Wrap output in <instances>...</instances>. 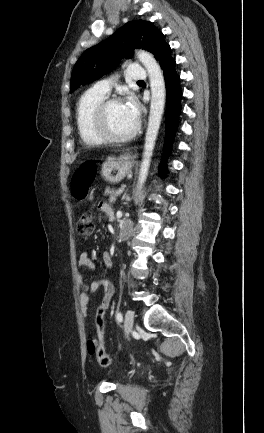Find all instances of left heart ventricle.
<instances>
[{
  "label": "left heart ventricle",
  "instance_id": "obj_1",
  "mask_svg": "<svg viewBox=\"0 0 264 433\" xmlns=\"http://www.w3.org/2000/svg\"><path fill=\"white\" fill-rule=\"evenodd\" d=\"M136 120L131 117L124 103L114 104L107 111V125L115 135H124L136 125Z\"/></svg>",
  "mask_w": 264,
  "mask_h": 433
}]
</instances>
